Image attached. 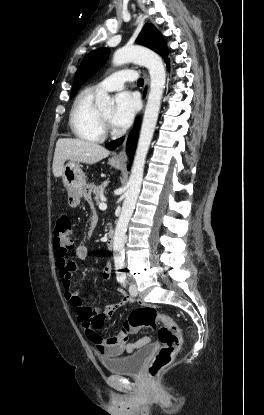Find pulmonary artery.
Masks as SVG:
<instances>
[{
  "mask_svg": "<svg viewBox=\"0 0 264 415\" xmlns=\"http://www.w3.org/2000/svg\"><path fill=\"white\" fill-rule=\"evenodd\" d=\"M136 79V74L131 71H117L101 82L97 83L93 90L97 93L116 91L124 87L127 81L133 82Z\"/></svg>",
  "mask_w": 264,
  "mask_h": 415,
  "instance_id": "1",
  "label": "pulmonary artery"
}]
</instances>
